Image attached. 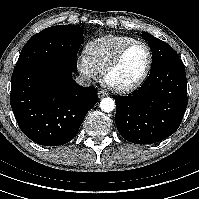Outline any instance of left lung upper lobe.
Returning <instances> with one entry per match:
<instances>
[{
	"label": "left lung upper lobe",
	"mask_w": 199,
	"mask_h": 199,
	"mask_svg": "<svg viewBox=\"0 0 199 199\" xmlns=\"http://www.w3.org/2000/svg\"><path fill=\"white\" fill-rule=\"evenodd\" d=\"M143 38L148 41L152 50L151 69L167 59L178 56L168 43L152 36L151 34L143 32Z\"/></svg>",
	"instance_id": "obj_1"
}]
</instances>
